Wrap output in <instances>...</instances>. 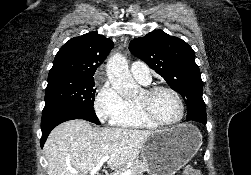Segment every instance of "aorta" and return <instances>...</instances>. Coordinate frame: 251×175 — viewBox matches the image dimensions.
<instances>
[{"instance_id":"aorta-1","label":"aorta","mask_w":251,"mask_h":175,"mask_svg":"<svg viewBox=\"0 0 251 175\" xmlns=\"http://www.w3.org/2000/svg\"><path fill=\"white\" fill-rule=\"evenodd\" d=\"M107 76L108 80L120 95L128 97L132 93H136V89H139V84L134 82L128 68L126 58H123L122 54H114L107 62Z\"/></svg>"}]
</instances>
